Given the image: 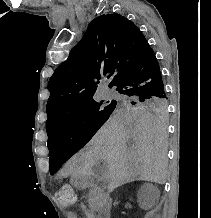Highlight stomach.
<instances>
[{
    "mask_svg": "<svg viewBox=\"0 0 211 218\" xmlns=\"http://www.w3.org/2000/svg\"><path fill=\"white\" fill-rule=\"evenodd\" d=\"M72 183L76 187H83L86 185V176L82 174L72 175Z\"/></svg>",
    "mask_w": 211,
    "mask_h": 218,
    "instance_id": "obj_1",
    "label": "stomach"
}]
</instances>
